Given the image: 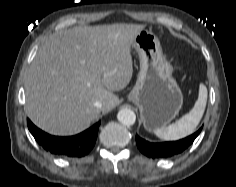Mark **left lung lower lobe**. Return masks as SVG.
<instances>
[{"label": "left lung lower lobe", "instance_id": "left-lung-lower-lobe-1", "mask_svg": "<svg viewBox=\"0 0 236 187\" xmlns=\"http://www.w3.org/2000/svg\"><path fill=\"white\" fill-rule=\"evenodd\" d=\"M201 129L184 139L174 142L150 143L136 135V144L139 150L149 158H167L188 148L199 135Z\"/></svg>", "mask_w": 236, "mask_h": 187}]
</instances>
